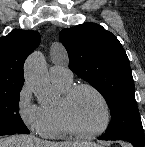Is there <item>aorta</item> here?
<instances>
[{"label":"aorta","mask_w":145,"mask_h":147,"mask_svg":"<svg viewBox=\"0 0 145 147\" xmlns=\"http://www.w3.org/2000/svg\"><path fill=\"white\" fill-rule=\"evenodd\" d=\"M25 82L35 92L39 102L47 101L52 96V90L47 75L46 63L41 52H33L24 66Z\"/></svg>","instance_id":"aorta-1"}]
</instances>
